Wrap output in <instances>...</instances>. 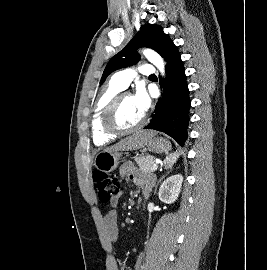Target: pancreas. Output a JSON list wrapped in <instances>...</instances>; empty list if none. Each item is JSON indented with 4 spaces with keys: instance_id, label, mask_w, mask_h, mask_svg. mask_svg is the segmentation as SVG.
<instances>
[{
    "instance_id": "1",
    "label": "pancreas",
    "mask_w": 267,
    "mask_h": 270,
    "mask_svg": "<svg viewBox=\"0 0 267 270\" xmlns=\"http://www.w3.org/2000/svg\"><path fill=\"white\" fill-rule=\"evenodd\" d=\"M135 161L143 174L153 176V171H155L153 169L155 165V158L153 156H139L135 158Z\"/></svg>"
}]
</instances>
